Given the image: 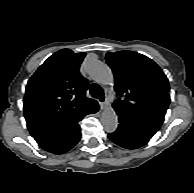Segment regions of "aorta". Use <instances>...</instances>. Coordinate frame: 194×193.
<instances>
[{"label":"aorta","instance_id":"762f6f07","mask_svg":"<svg viewBox=\"0 0 194 193\" xmlns=\"http://www.w3.org/2000/svg\"><path fill=\"white\" fill-rule=\"evenodd\" d=\"M87 72L94 81L100 84L109 85L113 83L114 78L111 69L100 61H89ZM101 122L106 132H114L118 126V118L115 111L112 108L105 109L101 115Z\"/></svg>","mask_w":194,"mask_h":193}]
</instances>
